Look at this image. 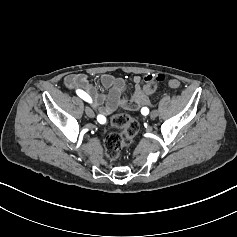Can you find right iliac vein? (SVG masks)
<instances>
[{"label": "right iliac vein", "instance_id": "right-iliac-vein-1", "mask_svg": "<svg viewBox=\"0 0 237 237\" xmlns=\"http://www.w3.org/2000/svg\"><path fill=\"white\" fill-rule=\"evenodd\" d=\"M85 113L88 117H94L95 116L94 111L90 107L85 108Z\"/></svg>", "mask_w": 237, "mask_h": 237}]
</instances>
